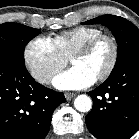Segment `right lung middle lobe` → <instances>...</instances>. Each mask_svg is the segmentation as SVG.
<instances>
[{
    "label": "right lung middle lobe",
    "mask_w": 139,
    "mask_h": 139,
    "mask_svg": "<svg viewBox=\"0 0 139 139\" xmlns=\"http://www.w3.org/2000/svg\"><path fill=\"white\" fill-rule=\"evenodd\" d=\"M40 33L18 23H3L0 25V56H9L24 61V48L27 43Z\"/></svg>",
    "instance_id": "obj_1"
}]
</instances>
